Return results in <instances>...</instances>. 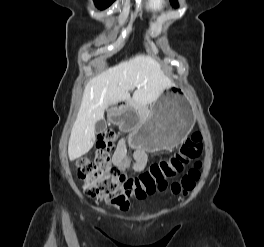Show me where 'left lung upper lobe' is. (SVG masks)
Here are the masks:
<instances>
[{"mask_svg":"<svg viewBox=\"0 0 264 247\" xmlns=\"http://www.w3.org/2000/svg\"><path fill=\"white\" fill-rule=\"evenodd\" d=\"M171 1V3L174 5V6H178V2H177V0H170Z\"/></svg>","mask_w":264,"mask_h":247,"instance_id":"obj_1","label":"left lung upper lobe"}]
</instances>
